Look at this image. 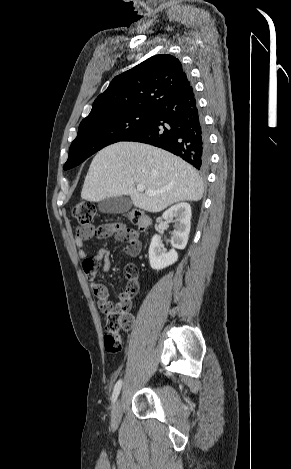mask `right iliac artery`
<instances>
[{
	"mask_svg": "<svg viewBox=\"0 0 291 469\" xmlns=\"http://www.w3.org/2000/svg\"><path fill=\"white\" fill-rule=\"evenodd\" d=\"M121 386H122V380H118V382L115 384L114 386V390H113V394H112V403H114L120 393V390H121Z\"/></svg>",
	"mask_w": 291,
	"mask_h": 469,
	"instance_id": "1",
	"label": "right iliac artery"
}]
</instances>
